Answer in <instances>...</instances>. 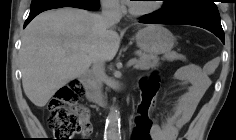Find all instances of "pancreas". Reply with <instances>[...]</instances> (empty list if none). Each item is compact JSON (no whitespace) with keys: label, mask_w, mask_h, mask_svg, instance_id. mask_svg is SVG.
<instances>
[{"label":"pancreas","mask_w":236,"mask_h":140,"mask_svg":"<svg viewBox=\"0 0 236 140\" xmlns=\"http://www.w3.org/2000/svg\"><path fill=\"white\" fill-rule=\"evenodd\" d=\"M136 54L139 56V59H137L134 64L136 69L146 70L159 66V58L157 56L140 51H136Z\"/></svg>","instance_id":"obj_1"}]
</instances>
